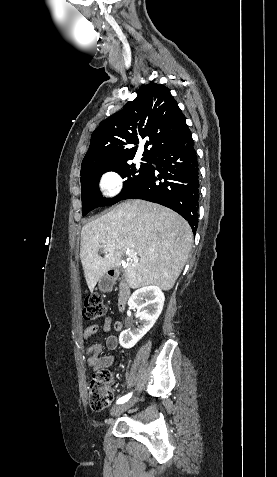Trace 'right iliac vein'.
Listing matches in <instances>:
<instances>
[{
  "instance_id": "right-iliac-vein-1",
  "label": "right iliac vein",
  "mask_w": 277,
  "mask_h": 477,
  "mask_svg": "<svg viewBox=\"0 0 277 477\" xmlns=\"http://www.w3.org/2000/svg\"><path fill=\"white\" fill-rule=\"evenodd\" d=\"M135 402H136V399H133L127 403L114 406L110 411L111 416L120 415L121 413H123L124 411L132 407L135 404Z\"/></svg>"
}]
</instances>
